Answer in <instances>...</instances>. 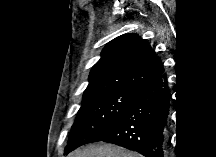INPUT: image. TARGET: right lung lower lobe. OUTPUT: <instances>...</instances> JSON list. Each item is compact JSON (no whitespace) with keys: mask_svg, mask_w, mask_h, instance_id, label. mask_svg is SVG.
<instances>
[{"mask_svg":"<svg viewBox=\"0 0 216 157\" xmlns=\"http://www.w3.org/2000/svg\"><path fill=\"white\" fill-rule=\"evenodd\" d=\"M169 102L167 78L163 72L133 89L122 115L93 142L112 143L144 157H165Z\"/></svg>","mask_w":216,"mask_h":157,"instance_id":"obj_1","label":"right lung lower lobe"}]
</instances>
